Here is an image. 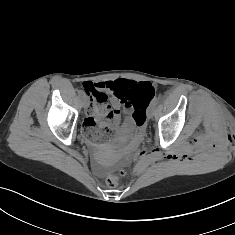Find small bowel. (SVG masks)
<instances>
[{"mask_svg": "<svg viewBox=\"0 0 235 235\" xmlns=\"http://www.w3.org/2000/svg\"><path fill=\"white\" fill-rule=\"evenodd\" d=\"M128 83L130 82L125 80L105 81V82H99L96 87L102 92H107V93L116 92L121 94L127 90ZM110 103H111V109L107 113L106 122H104L101 127L93 129L96 136L101 134V130L103 129H113L114 126L117 125L120 121V108H121L120 99L116 96H113L110 99ZM93 111L95 114L103 112L102 108H100L99 106H94ZM124 111L126 114H130L131 108L125 107ZM129 124H131L130 117H128L125 122V125ZM89 125L91 126L93 124Z\"/></svg>", "mask_w": 235, "mask_h": 235, "instance_id": "1", "label": "small bowel"}]
</instances>
